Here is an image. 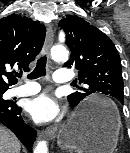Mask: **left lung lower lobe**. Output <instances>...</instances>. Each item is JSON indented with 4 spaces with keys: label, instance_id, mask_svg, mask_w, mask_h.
I'll use <instances>...</instances> for the list:
<instances>
[{
    "label": "left lung lower lobe",
    "instance_id": "obj_1",
    "mask_svg": "<svg viewBox=\"0 0 130 153\" xmlns=\"http://www.w3.org/2000/svg\"><path fill=\"white\" fill-rule=\"evenodd\" d=\"M123 104V103H122ZM93 114V110L91 108H86L82 111L83 117H88Z\"/></svg>",
    "mask_w": 130,
    "mask_h": 153
}]
</instances>
